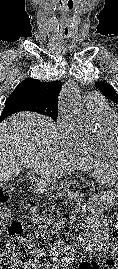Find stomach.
I'll return each instance as SVG.
<instances>
[{"mask_svg":"<svg viewBox=\"0 0 118 269\" xmlns=\"http://www.w3.org/2000/svg\"><path fill=\"white\" fill-rule=\"evenodd\" d=\"M96 182L105 188H111L118 179V171L111 165L102 164L95 168ZM118 193V187L116 188Z\"/></svg>","mask_w":118,"mask_h":269,"instance_id":"obj_1","label":"stomach"}]
</instances>
